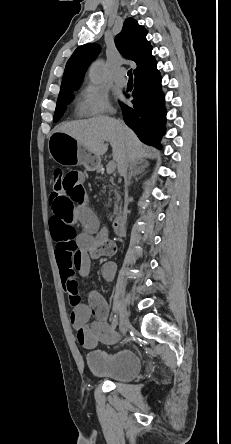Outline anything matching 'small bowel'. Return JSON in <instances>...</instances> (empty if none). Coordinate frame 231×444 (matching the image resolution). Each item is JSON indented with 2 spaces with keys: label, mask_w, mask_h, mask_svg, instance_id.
Masks as SVG:
<instances>
[{
  "label": "small bowel",
  "mask_w": 231,
  "mask_h": 444,
  "mask_svg": "<svg viewBox=\"0 0 231 444\" xmlns=\"http://www.w3.org/2000/svg\"><path fill=\"white\" fill-rule=\"evenodd\" d=\"M84 181L85 174L81 171L65 175L66 195L60 199L51 198L49 226L62 285L71 308V324L80 345L92 349L100 343L112 344L117 335L107 322L109 309L100 293L90 289L88 302H82L76 273L89 276L92 259L113 255L116 246L104 235H94L98 221L86 200ZM101 273L106 281H111L115 266L107 263ZM91 317H95L93 322H90Z\"/></svg>",
  "instance_id": "obj_1"
}]
</instances>
